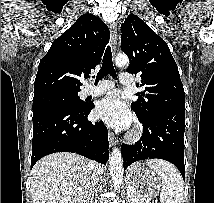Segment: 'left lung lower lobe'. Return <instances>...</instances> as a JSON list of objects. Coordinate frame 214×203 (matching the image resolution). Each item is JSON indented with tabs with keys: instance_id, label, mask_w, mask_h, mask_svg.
Masks as SVG:
<instances>
[{
	"instance_id": "0a47b994",
	"label": "left lung lower lobe",
	"mask_w": 214,
	"mask_h": 203,
	"mask_svg": "<svg viewBox=\"0 0 214 203\" xmlns=\"http://www.w3.org/2000/svg\"><path fill=\"white\" fill-rule=\"evenodd\" d=\"M137 117L143 125V135L135 144H122L124 170L135 161L158 158L174 164L185 180V111L165 109Z\"/></svg>"
}]
</instances>
